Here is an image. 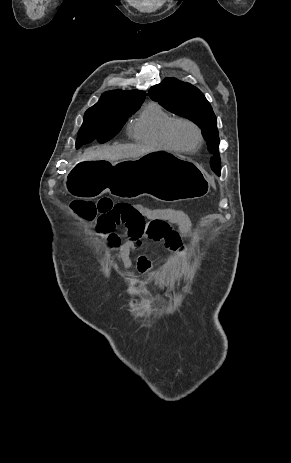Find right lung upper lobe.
Wrapping results in <instances>:
<instances>
[{
	"instance_id": "cb5924a9",
	"label": "right lung upper lobe",
	"mask_w": 291,
	"mask_h": 463,
	"mask_svg": "<svg viewBox=\"0 0 291 463\" xmlns=\"http://www.w3.org/2000/svg\"><path fill=\"white\" fill-rule=\"evenodd\" d=\"M146 93L144 91L133 90V91H122L113 90L103 93L100 100L91 108H114L123 109L131 105L142 103Z\"/></svg>"
}]
</instances>
